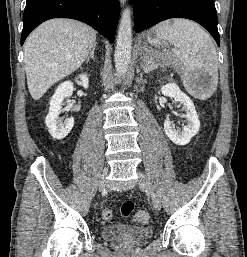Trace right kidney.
<instances>
[{
    "label": "right kidney",
    "mask_w": 247,
    "mask_h": 257,
    "mask_svg": "<svg viewBox=\"0 0 247 257\" xmlns=\"http://www.w3.org/2000/svg\"><path fill=\"white\" fill-rule=\"evenodd\" d=\"M80 81L77 79L76 83L88 88L89 79L87 74L79 75ZM73 94V83L71 81H65L61 83L54 95L50 100L49 113L46 116L45 123L49 129L50 135L57 140L65 138L74 126V118H68L64 124L58 122L59 114L62 108V102L65 98L70 97Z\"/></svg>",
    "instance_id": "obj_1"
}]
</instances>
